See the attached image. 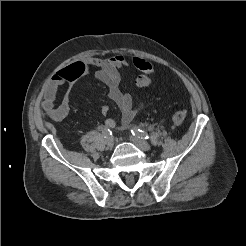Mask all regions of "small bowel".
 <instances>
[{"label": "small bowel", "instance_id": "small-bowel-1", "mask_svg": "<svg viewBox=\"0 0 246 246\" xmlns=\"http://www.w3.org/2000/svg\"><path fill=\"white\" fill-rule=\"evenodd\" d=\"M128 61L122 55L108 58L88 57L82 61L70 64L57 71L50 79L43 95L42 109L54 121L64 120L70 111V90L76 80L88 73L90 67H96L95 78L108 87V95L121 111V121L129 124L135 115L143 107L142 102L134 103L131 95L123 92L120 88V69L127 67ZM67 85L68 91L59 104H56L57 92L60 86ZM108 106H102V114L105 116L104 124L108 128H114L116 123L106 117Z\"/></svg>", "mask_w": 246, "mask_h": 246}]
</instances>
